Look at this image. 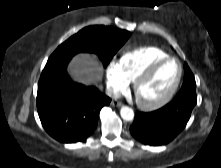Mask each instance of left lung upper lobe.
Returning a JSON list of instances; mask_svg holds the SVG:
<instances>
[{"label": "left lung upper lobe", "mask_w": 221, "mask_h": 168, "mask_svg": "<svg viewBox=\"0 0 221 168\" xmlns=\"http://www.w3.org/2000/svg\"><path fill=\"white\" fill-rule=\"evenodd\" d=\"M185 86L196 87V82H195L193 73L191 72L190 68L188 67L186 63L184 64V82H183L182 87H185Z\"/></svg>", "instance_id": "1"}]
</instances>
